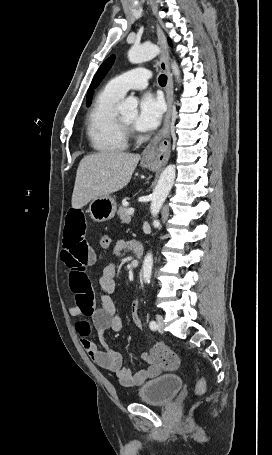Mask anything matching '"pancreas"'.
I'll return each instance as SVG.
<instances>
[{
	"instance_id": "obj_1",
	"label": "pancreas",
	"mask_w": 272,
	"mask_h": 455,
	"mask_svg": "<svg viewBox=\"0 0 272 455\" xmlns=\"http://www.w3.org/2000/svg\"><path fill=\"white\" fill-rule=\"evenodd\" d=\"M118 216L121 223H129L131 216L128 214V208L121 206L118 210Z\"/></svg>"
}]
</instances>
